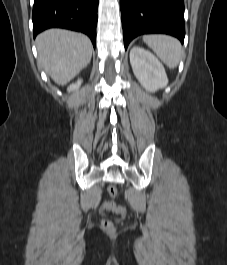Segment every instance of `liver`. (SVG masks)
<instances>
[{"mask_svg":"<svg viewBox=\"0 0 227 265\" xmlns=\"http://www.w3.org/2000/svg\"><path fill=\"white\" fill-rule=\"evenodd\" d=\"M38 60L58 85H66L90 62L92 43L81 33L49 29L36 39Z\"/></svg>","mask_w":227,"mask_h":265,"instance_id":"1","label":"liver"}]
</instances>
